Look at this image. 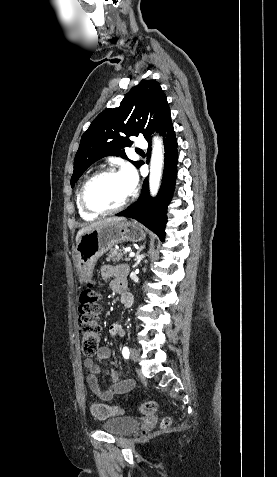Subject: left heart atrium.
I'll use <instances>...</instances> for the list:
<instances>
[{"label": "left heart atrium", "instance_id": "obj_1", "mask_svg": "<svg viewBox=\"0 0 277 477\" xmlns=\"http://www.w3.org/2000/svg\"><path fill=\"white\" fill-rule=\"evenodd\" d=\"M129 194L133 193L138 184V176L131 165H126L120 172Z\"/></svg>", "mask_w": 277, "mask_h": 477}]
</instances>
